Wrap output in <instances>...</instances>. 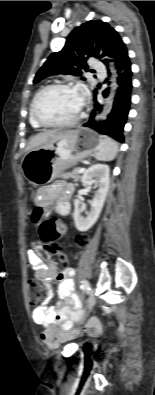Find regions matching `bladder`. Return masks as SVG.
Masks as SVG:
<instances>
[{
	"mask_svg": "<svg viewBox=\"0 0 155 395\" xmlns=\"http://www.w3.org/2000/svg\"><path fill=\"white\" fill-rule=\"evenodd\" d=\"M81 345L84 347H89L91 345V342L86 340V341L82 342Z\"/></svg>",
	"mask_w": 155,
	"mask_h": 395,
	"instance_id": "31cf9c89",
	"label": "bladder"
}]
</instances>
